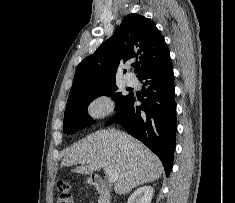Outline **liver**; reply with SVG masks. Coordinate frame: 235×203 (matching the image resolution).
I'll return each instance as SVG.
<instances>
[{
    "instance_id": "liver-1",
    "label": "liver",
    "mask_w": 235,
    "mask_h": 203,
    "mask_svg": "<svg viewBox=\"0 0 235 203\" xmlns=\"http://www.w3.org/2000/svg\"><path fill=\"white\" fill-rule=\"evenodd\" d=\"M80 164L79 174H92L109 167L118 174L117 194H126L138 185L152 182L163 173L159 158L144 144L118 130L96 131L65 151L61 167Z\"/></svg>"
}]
</instances>
